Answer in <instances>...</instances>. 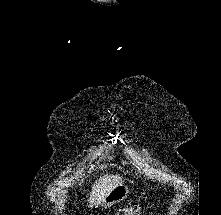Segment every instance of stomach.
I'll return each mask as SVG.
<instances>
[{
    "label": "stomach",
    "mask_w": 221,
    "mask_h": 215,
    "mask_svg": "<svg viewBox=\"0 0 221 215\" xmlns=\"http://www.w3.org/2000/svg\"><path fill=\"white\" fill-rule=\"evenodd\" d=\"M129 194V188L126 184H119L115 187L102 202V207H108L123 201Z\"/></svg>",
    "instance_id": "1"
}]
</instances>
